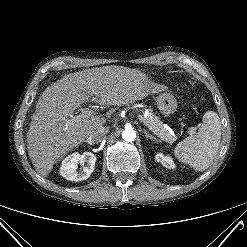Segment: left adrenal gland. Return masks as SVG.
<instances>
[{"label":"left adrenal gland","instance_id":"1","mask_svg":"<svg viewBox=\"0 0 247 247\" xmlns=\"http://www.w3.org/2000/svg\"><path fill=\"white\" fill-rule=\"evenodd\" d=\"M144 134H145V136H146V139H150L151 141L157 142V143H158L157 139H156L155 137H153V136H152L149 132H147L146 130H144Z\"/></svg>","mask_w":247,"mask_h":247}]
</instances>
